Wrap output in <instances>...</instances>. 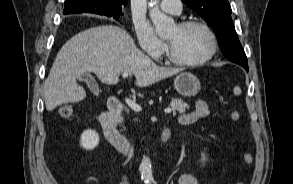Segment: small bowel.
<instances>
[{
	"label": "small bowel",
	"mask_w": 293,
	"mask_h": 184,
	"mask_svg": "<svg viewBox=\"0 0 293 184\" xmlns=\"http://www.w3.org/2000/svg\"><path fill=\"white\" fill-rule=\"evenodd\" d=\"M210 112L207 104L199 100L197 101L195 108L192 112L183 114L179 117L180 123L189 125L196 122L199 119H205L209 116ZM179 184H200L198 180L189 173H184L179 177ZM120 184H130L126 176H123Z\"/></svg>",
	"instance_id": "obj_1"
}]
</instances>
